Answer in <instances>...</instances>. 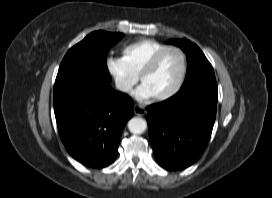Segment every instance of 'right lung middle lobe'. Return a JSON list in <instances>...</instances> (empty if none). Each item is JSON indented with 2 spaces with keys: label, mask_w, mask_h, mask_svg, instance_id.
Masks as SVG:
<instances>
[{
  "label": "right lung middle lobe",
  "mask_w": 272,
  "mask_h": 198,
  "mask_svg": "<svg viewBox=\"0 0 272 198\" xmlns=\"http://www.w3.org/2000/svg\"><path fill=\"white\" fill-rule=\"evenodd\" d=\"M123 36L122 33L95 31L73 46L59 67L54 93L81 81L110 85L106 55Z\"/></svg>",
  "instance_id": "dd1d6c3e"
}]
</instances>
